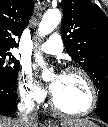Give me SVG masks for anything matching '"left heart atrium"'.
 Segmentation results:
<instances>
[{
	"mask_svg": "<svg viewBox=\"0 0 108 127\" xmlns=\"http://www.w3.org/2000/svg\"><path fill=\"white\" fill-rule=\"evenodd\" d=\"M56 82H57V79H54L51 84H50V88L53 90L56 86Z\"/></svg>",
	"mask_w": 108,
	"mask_h": 127,
	"instance_id": "1",
	"label": "left heart atrium"
}]
</instances>
